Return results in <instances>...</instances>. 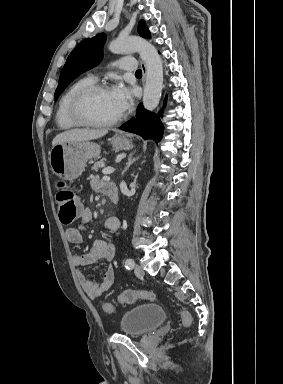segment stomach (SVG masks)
I'll return each mask as SVG.
<instances>
[{
    "mask_svg": "<svg viewBox=\"0 0 283 384\" xmlns=\"http://www.w3.org/2000/svg\"><path fill=\"white\" fill-rule=\"evenodd\" d=\"M115 150H132L131 140L123 134H117L111 140ZM100 146L93 142H62L56 144L49 152V162L52 172L62 180H76L85 170L90 158L100 156Z\"/></svg>",
    "mask_w": 283,
    "mask_h": 384,
    "instance_id": "stomach-1",
    "label": "stomach"
}]
</instances>
